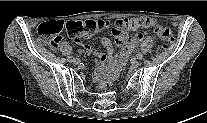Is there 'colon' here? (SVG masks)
<instances>
[{
  "label": "colon",
  "instance_id": "colon-1",
  "mask_svg": "<svg viewBox=\"0 0 207 123\" xmlns=\"http://www.w3.org/2000/svg\"><path fill=\"white\" fill-rule=\"evenodd\" d=\"M105 20L89 19L85 21H69L64 25L61 21L45 22L38 26L35 39L48 43L51 48H57L61 40L60 33L65 28L68 38L76 40L81 37H90L108 27ZM116 26L122 30L151 29L156 32L163 46H170L173 43L172 32L162 23L150 19L125 18L116 21ZM126 57L117 59V67L110 77V81L116 79L119 67L125 62Z\"/></svg>",
  "mask_w": 207,
  "mask_h": 123
}]
</instances>
